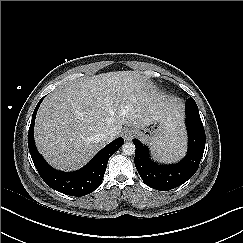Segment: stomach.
Here are the masks:
<instances>
[{"instance_id":"0dacf381","label":"stomach","mask_w":243,"mask_h":243,"mask_svg":"<svg viewBox=\"0 0 243 243\" xmlns=\"http://www.w3.org/2000/svg\"><path fill=\"white\" fill-rule=\"evenodd\" d=\"M142 138L149 141L155 152H158L161 143L169 138V131L164 121L155 120L144 128Z\"/></svg>"}]
</instances>
